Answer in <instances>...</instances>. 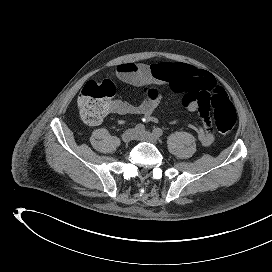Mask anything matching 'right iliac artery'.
<instances>
[{
    "instance_id": "obj_1",
    "label": "right iliac artery",
    "mask_w": 272,
    "mask_h": 272,
    "mask_svg": "<svg viewBox=\"0 0 272 272\" xmlns=\"http://www.w3.org/2000/svg\"><path fill=\"white\" fill-rule=\"evenodd\" d=\"M135 130L137 131V132H144L145 131V126L143 125V124H137L136 126H135Z\"/></svg>"
}]
</instances>
